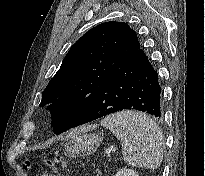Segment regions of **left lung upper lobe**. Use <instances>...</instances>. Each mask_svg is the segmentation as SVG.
<instances>
[{
	"label": "left lung upper lobe",
	"mask_w": 205,
	"mask_h": 176,
	"mask_svg": "<svg viewBox=\"0 0 205 176\" xmlns=\"http://www.w3.org/2000/svg\"><path fill=\"white\" fill-rule=\"evenodd\" d=\"M139 48L136 33L123 22L102 23L72 45L39 105H48L56 134L73 126L103 84Z\"/></svg>",
	"instance_id": "1"
}]
</instances>
